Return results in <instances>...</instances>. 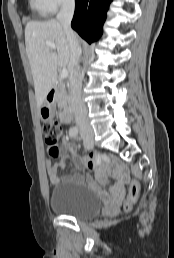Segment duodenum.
Returning a JSON list of instances; mask_svg holds the SVG:
<instances>
[{"mask_svg": "<svg viewBox=\"0 0 174 258\" xmlns=\"http://www.w3.org/2000/svg\"><path fill=\"white\" fill-rule=\"evenodd\" d=\"M57 94V88L51 87L47 92V101L50 105H53L55 103V96ZM62 119L65 123H70L73 120V110L69 107H66Z\"/></svg>", "mask_w": 174, "mask_h": 258, "instance_id": "obj_1", "label": "duodenum"}]
</instances>
